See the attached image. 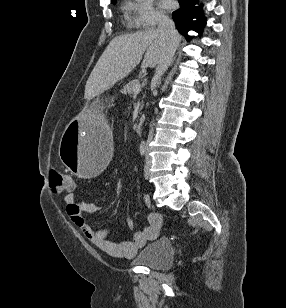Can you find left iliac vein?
Listing matches in <instances>:
<instances>
[{
	"mask_svg": "<svg viewBox=\"0 0 286 308\" xmlns=\"http://www.w3.org/2000/svg\"><path fill=\"white\" fill-rule=\"evenodd\" d=\"M147 154H148V152H147ZM150 166H151V159H150V157L147 155L146 161H145V166H144V175H145V178H149V175H150Z\"/></svg>",
	"mask_w": 286,
	"mask_h": 308,
	"instance_id": "1",
	"label": "left iliac vein"
}]
</instances>
